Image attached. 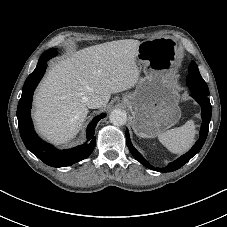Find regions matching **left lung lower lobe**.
<instances>
[{"mask_svg":"<svg viewBox=\"0 0 227 227\" xmlns=\"http://www.w3.org/2000/svg\"><path fill=\"white\" fill-rule=\"evenodd\" d=\"M192 94L191 96L201 105L202 107V125H201V130H200V138L196 141L195 145L184 155L179 157L177 160L174 162L169 163L165 168H154L152 167L143 157L142 155L133 147L130 137H129V132L126 129V142L127 146L132 153V155L145 167L149 169H153L159 172H172L180 167H182L185 163H187L194 155H196L202 146L205 143V140L207 138L208 134V129H209V122L211 119V113H212V107L210 104V100L207 95L201 94L197 91H191Z\"/></svg>","mask_w":227,"mask_h":227,"instance_id":"left-lung-lower-lobe-1","label":"left lung lower lobe"}]
</instances>
